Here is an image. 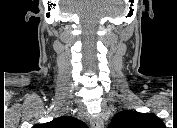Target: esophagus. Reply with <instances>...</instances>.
Listing matches in <instances>:
<instances>
[{
  "label": "esophagus",
  "mask_w": 177,
  "mask_h": 128,
  "mask_svg": "<svg viewBox=\"0 0 177 128\" xmlns=\"http://www.w3.org/2000/svg\"><path fill=\"white\" fill-rule=\"evenodd\" d=\"M91 128H104V123L100 117L91 119Z\"/></svg>",
  "instance_id": "obj_1"
}]
</instances>
